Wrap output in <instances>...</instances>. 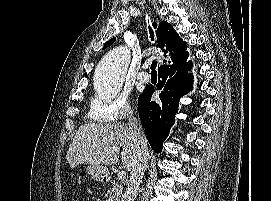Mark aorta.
I'll use <instances>...</instances> for the list:
<instances>
[{
    "instance_id": "762f6f07",
    "label": "aorta",
    "mask_w": 271,
    "mask_h": 201,
    "mask_svg": "<svg viewBox=\"0 0 271 201\" xmlns=\"http://www.w3.org/2000/svg\"><path fill=\"white\" fill-rule=\"evenodd\" d=\"M130 50L119 46L110 50L95 71V87L100 94H117L130 63Z\"/></svg>"
}]
</instances>
